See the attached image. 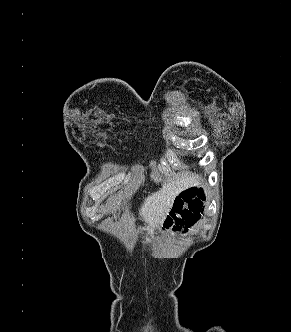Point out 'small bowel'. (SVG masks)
I'll use <instances>...</instances> for the list:
<instances>
[{
    "instance_id": "obj_1",
    "label": "small bowel",
    "mask_w": 291,
    "mask_h": 332,
    "mask_svg": "<svg viewBox=\"0 0 291 332\" xmlns=\"http://www.w3.org/2000/svg\"><path fill=\"white\" fill-rule=\"evenodd\" d=\"M198 189L195 186H189L185 188L182 192L194 193L197 192Z\"/></svg>"
}]
</instances>
